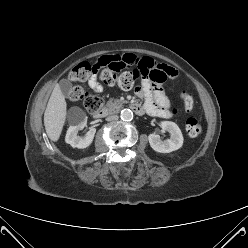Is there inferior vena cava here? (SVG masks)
Instances as JSON below:
<instances>
[{
  "mask_svg": "<svg viewBox=\"0 0 248 248\" xmlns=\"http://www.w3.org/2000/svg\"><path fill=\"white\" fill-rule=\"evenodd\" d=\"M118 115H111L106 118L107 121L118 120Z\"/></svg>",
  "mask_w": 248,
  "mask_h": 248,
  "instance_id": "inferior-vena-cava-1",
  "label": "inferior vena cava"
}]
</instances>
